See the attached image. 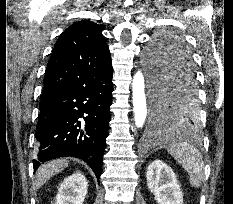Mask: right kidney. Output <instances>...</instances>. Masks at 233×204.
<instances>
[{"label": "right kidney", "instance_id": "obj_1", "mask_svg": "<svg viewBox=\"0 0 233 204\" xmlns=\"http://www.w3.org/2000/svg\"><path fill=\"white\" fill-rule=\"evenodd\" d=\"M88 183L81 173H73L61 183L55 204H83Z\"/></svg>", "mask_w": 233, "mask_h": 204}]
</instances>
